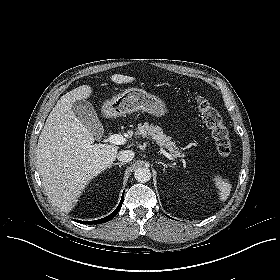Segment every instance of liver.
Returning a JSON list of instances; mask_svg holds the SVG:
<instances>
[{"label": "liver", "instance_id": "obj_1", "mask_svg": "<svg viewBox=\"0 0 280 280\" xmlns=\"http://www.w3.org/2000/svg\"><path fill=\"white\" fill-rule=\"evenodd\" d=\"M111 81L124 84L134 77L121 74ZM92 88L79 86L63 95L50 112L37 145L36 163L48 198L69 212L89 181L111 166L119 147L96 144L93 133L72 111L76 100L88 98Z\"/></svg>", "mask_w": 280, "mask_h": 280}]
</instances>
